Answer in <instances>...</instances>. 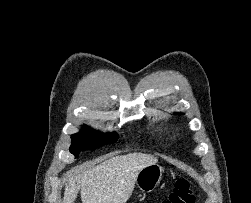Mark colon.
I'll list each match as a JSON object with an SVG mask.
<instances>
[{
  "label": "colon",
  "instance_id": "5ec220e1",
  "mask_svg": "<svg viewBox=\"0 0 251 203\" xmlns=\"http://www.w3.org/2000/svg\"><path fill=\"white\" fill-rule=\"evenodd\" d=\"M194 191L186 179H180L176 182L173 191L160 203H194Z\"/></svg>",
  "mask_w": 251,
  "mask_h": 203
}]
</instances>
